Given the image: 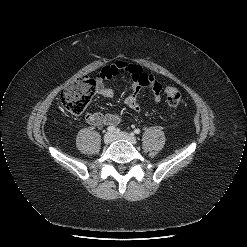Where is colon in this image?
<instances>
[{
    "instance_id": "5ec220e1",
    "label": "colon",
    "mask_w": 247,
    "mask_h": 247,
    "mask_svg": "<svg viewBox=\"0 0 247 247\" xmlns=\"http://www.w3.org/2000/svg\"><path fill=\"white\" fill-rule=\"evenodd\" d=\"M95 92L96 81L85 77L70 83L60 94L59 101L69 113L81 115ZM165 94L168 104L172 107L178 106L182 101L181 93L176 87H167Z\"/></svg>"
}]
</instances>
